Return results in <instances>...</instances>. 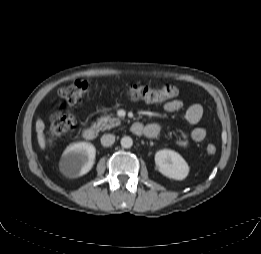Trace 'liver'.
Returning a JSON list of instances; mask_svg holds the SVG:
<instances>
[{"label": "liver", "instance_id": "6515ba94", "mask_svg": "<svg viewBox=\"0 0 261 254\" xmlns=\"http://www.w3.org/2000/svg\"><path fill=\"white\" fill-rule=\"evenodd\" d=\"M44 123L41 120H38L36 123V130H37V139L39 146L41 149H45L46 143H45V138L43 135V130H44Z\"/></svg>", "mask_w": 261, "mask_h": 254}]
</instances>
